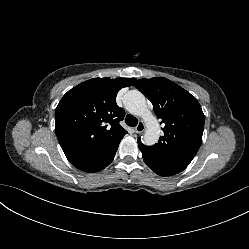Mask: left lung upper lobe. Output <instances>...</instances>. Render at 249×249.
I'll list each match as a JSON object with an SVG mask.
<instances>
[{
    "mask_svg": "<svg viewBox=\"0 0 249 249\" xmlns=\"http://www.w3.org/2000/svg\"><path fill=\"white\" fill-rule=\"evenodd\" d=\"M153 104L164 124V135L153 146H138L146 153L173 161L190 163L202 142L205 116L197 99L174 82L156 77L133 83Z\"/></svg>",
    "mask_w": 249,
    "mask_h": 249,
    "instance_id": "5c2ea615",
    "label": "left lung upper lobe"
}]
</instances>
